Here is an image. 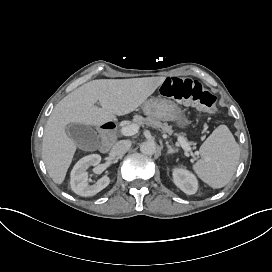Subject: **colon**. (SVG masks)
Listing matches in <instances>:
<instances>
[{"label": "colon", "instance_id": "obj_1", "mask_svg": "<svg viewBox=\"0 0 272 272\" xmlns=\"http://www.w3.org/2000/svg\"><path fill=\"white\" fill-rule=\"evenodd\" d=\"M161 95L167 99L198 106L208 114L216 112V96L198 79L170 78L162 84Z\"/></svg>", "mask_w": 272, "mask_h": 272}]
</instances>
